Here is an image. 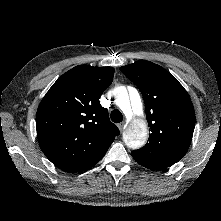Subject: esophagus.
<instances>
[{
  "mask_svg": "<svg viewBox=\"0 0 221 221\" xmlns=\"http://www.w3.org/2000/svg\"><path fill=\"white\" fill-rule=\"evenodd\" d=\"M118 128H119L120 131H123L124 128H125V123L124 122L119 123Z\"/></svg>",
  "mask_w": 221,
  "mask_h": 221,
  "instance_id": "34e87169",
  "label": "esophagus"
}]
</instances>
